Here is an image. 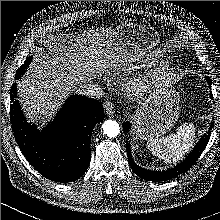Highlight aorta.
<instances>
[{
  "label": "aorta",
  "mask_w": 220,
  "mask_h": 220,
  "mask_svg": "<svg viewBox=\"0 0 220 220\" xmlns=\"http://www.w3.org/2000/svg\"><path fill=\"white\" fill-rule=\"evenodd\" d=\"M102 129L104 133L110 137L114 138L120 133V128L118 122L114 120H107L102 124Z\"/></svg>",
  "instance_id": "762f6f07"
}]
</instances>
